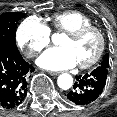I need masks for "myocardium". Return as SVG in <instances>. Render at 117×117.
<instances>
[{"label":"myocardium","instance_id":"obj_1","mask_svg":"<svg viewBox=\"0 0 117 117\" xmlns=\"http://www.w3.org/2000/svg\"><path fill=\"white\" fill-rule=\"evenodd\" d=\"M95 32L97 33L98 37H99V46L98 49L96 51V53L94 54V56L89 59L86 62L83 63H79L78 66L81 69H86V68H90L93 65H95L102 57V55L104 54L105 51V47H106V37L105 34L103 32V30L97 26L94 25H86V26H82V27H78L74 30L68 31L66 32L65 35L71 37V38H79L81 36H83L84 34L88 33V32Z\"/></svg>","mask_w":117,"mask_h":117}]
</instances>
